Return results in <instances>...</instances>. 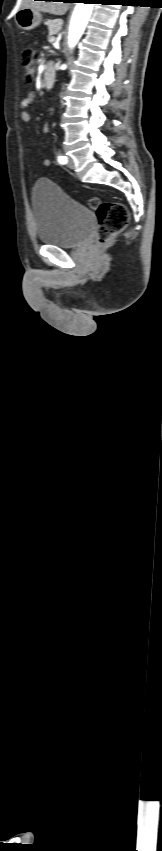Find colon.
Masks as SVG:
<instances>
[{
	"mask_svg": "<svg viewBox=\"0 0 162 851\" xmlns=\"http://www.w3.org/2000/svg\"><path fill=\"white\" fill-rule=\"evenodd\" d=\"M36 62V51L32 47H25L22 51V64L26 71L27 83L32 82ZM89 206L96 211L98 218L96 231L98 245L107 243L112 237L124 230L129 222L128 209L121 202H102L98 198H91Z\"/></svg>",
	"mask_w": 162,
	"mask_h": 851,
	"instance_id": "obj_1",
	"label": "colon"
}]
</instances>
